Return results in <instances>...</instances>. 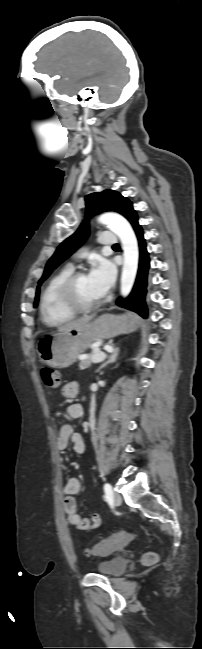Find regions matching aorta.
Listing matches in <instances>:
<instances>
[{"label": "aorta", "mask_w": 202, "mask_h": 649, "mask_svg": "<svg viewBox=\"0 0 202 649\" xmlns=\"http://www.w3.org/2000/svg\"><path fill=\"white\" fill-rule=\"evenodd\" d=\"M100 223L105 224L120 239L123 249V267L120 291L126 297L134 284L139 261L138 242L130 223L120 214L106 213L99 217Z\"/></svg>", "instance_id": "762f6f07"}]
</instances>
